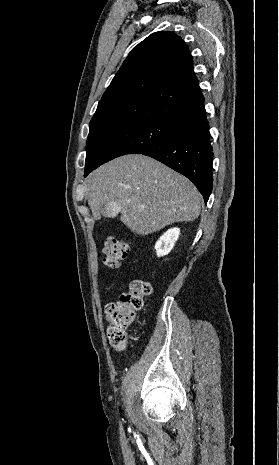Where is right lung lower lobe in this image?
<instances>
[{
    "label": "right lung lower lobe",
    "mask_w": 279,
    "mask_h": 465,
    "mask_svg": "<svg viewBox=\"0 0 279 465\" xmlns=\"http://www.w3.org/2000/svg\"><path fill=\"white\" fill-rule=\"evenodd\" d=\"M189 178L208 201L213 187V152L204 105L184 115L161 142L143 151ZM95 168L86 171L87 176Z\"/></svg>",
    "instance_id": "right-lung-lower-lobe-1"
}]
</instances>
